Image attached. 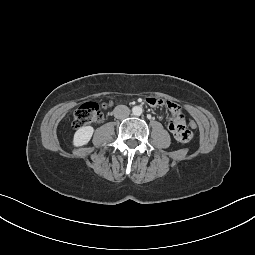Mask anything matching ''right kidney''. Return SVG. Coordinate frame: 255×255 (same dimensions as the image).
<instances>
[{
    "instance_id": "ca27d5eb",
    "label": "right kidney",
    "mask_w": 255,
    "mask_h": 255,
    "mask_svg": "<svg viewBox=\"0 0 255 255\" xmlns=\"http://www.w3.org/2000/svg\"><path fill=\"white\" fill-rule=\"evenodd\" d=\"M93 133L94 128L92 126L79 128L74 134L73 145L79 147L87 144L90 141Z\"/></svg>"
}]
</instances>
